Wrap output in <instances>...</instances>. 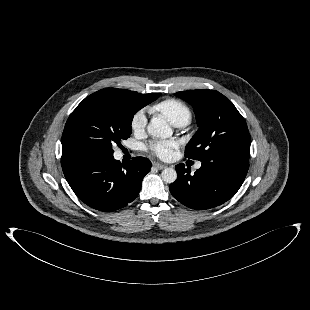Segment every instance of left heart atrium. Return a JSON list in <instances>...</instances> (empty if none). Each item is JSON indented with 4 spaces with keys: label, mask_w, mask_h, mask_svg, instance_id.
I'll return each instance as SVG.
<instances>
[{
    "label": "left heart atrium",
    "mask_w": 310,
    "mask_h": 310,
    "mask_svg": "<svg viewBox=\"0 0 310 310\" xmlns=\"http://www.w3.org/2000/svg\"><path fill=\"white\" fill-rule=\"evenodd\" d=\"M177 148V144L174 141H164V140H157L152 141L148 144L147 149L157 157L163 160L170 159L173 154L174 150Z\"/></svg>",
    "instance_id": "left-heart-atrium-1"
}]
</instances>
